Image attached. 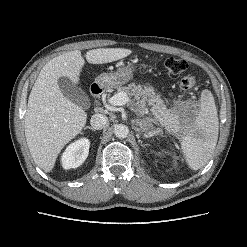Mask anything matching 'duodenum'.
<instances>
[{
    "label": "duodenum",
    "mask_w": 247,
    "mask_h": 247,
    "mask_svg": "<svg viewBox=\"0 0 247 247\" xmlns=\"http://www.w3.org/2000/svg\"><path fill=\"white\" fill-rule=\"evenodd\" d=\"M104 92V88L102 85L100 84H93L91 86V94L93 96L94 99H98L100 98V96L103 94Z\"/></svg>",
    "instance_id": "1"
}]
</instances>
